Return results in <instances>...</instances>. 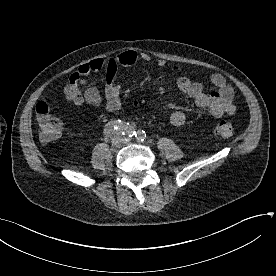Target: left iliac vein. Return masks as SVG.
<instances>
[{
  "instance_id": "1",
  "label": "left iliac vein",
  "mask_w": 276,
  "mask_h": 276,
  "mask_svg": "<svg viewBox=\"0 0 276 276\" xmlns=\"http://www.w3.org/2000/svg\"><path fill=\"white\" fill-rule=\"evenodd\" d=\"M123 142H128V141H130L129 139H127V138H122L121 139Z\"/></svg>"
}]
</instances>
